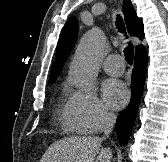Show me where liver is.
<instances>
[{
    "mask_svg": "<svg viewBox=\"0 0 168 162\" xmlns=\"http://www.w3.org/2000/svg\"><path fill=\"white\" fill-rule=\"evenodd\" d=\"M101 145L99 137H67L50 145L40 162H110L111 150Z\"/></svg>",
    "mask_w": 168,
    "mask_h": 162,
    "instance_id": "liver-1",
    "label": "liver"
}]
</instances>
